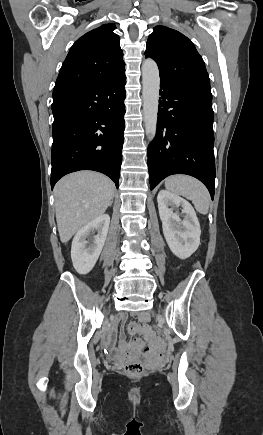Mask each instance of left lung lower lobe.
<instances>
[{
    "label": "left lung lower lobe",
    "mask_w": 263,
    "mask_h": 435,
    "mask_svg": "<svg viewBox=\"0 0 263 435\" xmlns=\"http://www.w3.org/2000/svg\"><path fill=\"white\" fill-rule=\"evenodd\" d=\"M157 131L148 147L150 188L172 174L202 181L214 197L212 95L161 81Z\"/></svg>",
    "instance_id": "obj_1"
}]
</instances>
